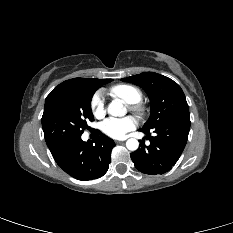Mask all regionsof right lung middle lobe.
<instances>
[{"label":"right lung middle lobe","instance_id":"obj_1","mask_svg":"<svg viewBox=\"0 0 233 233\" xmlns=\"http://www.w3.org/2000/svg\"><path fill=\"white\" fill-rule=\"evenodd\" d=\"M111 81L109 79L107 83ZM99 87L88 85L75 88L55 95L45 104L42 126L48 147L81 136L83 130L88 128L87 120H94L91 99Z\"/></svg>","mask_w":233,"mask_h":233}]
</instances>
